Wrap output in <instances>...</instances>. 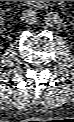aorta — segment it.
I'll return each mask as SVG.
<instances>
[{
    "mask_svg": "<svg viewBox=\"0 0 74 122\" xmlns=\"http://www.w3.org/2000/svg\"><path fill=\"white\" fill-rule=\"evenodd\" d=\"M46 24L50 27H53L58 24V16L53 12L48 13L46 16Z\"/></svg>",
    "mask_w": 74,
    "mask_h": 122,
    "instance_id": "762f6f07",
    "label": "aorta"
}]
</instances>
